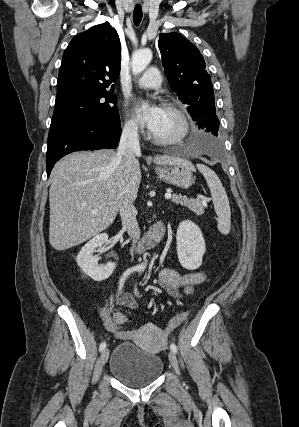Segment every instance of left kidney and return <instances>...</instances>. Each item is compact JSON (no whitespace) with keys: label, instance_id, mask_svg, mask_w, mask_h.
<instances>
[{"label":"left kidney","instance_id":"obj_1","mask_svg":"<svg viewBox=\"0 0 299 427\" xmlns=\"http://www.w3.org/2000/svg\"><path fill=\"white\" fill-rule=\"evenodd\" d=\"M176 239L180 264L188 270L198 269L206 251L205 240L200 228L192 221H182L177 229Z\"/></svg>","mask_w":299,"mask_h":427}]
</instances>
